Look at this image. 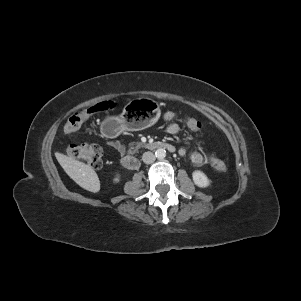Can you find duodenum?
I'll list each match as a JSON object with an SVG mask.
<instances>
[{
    "instance_id": "1",
    "label": "duodenum",
    "mask_w": 301,
    "mask_h": 301,
    "mask_svg": "<svg viewBox=\"0 0 301 301\" xmlns=\"http://www.w3.org/2000/svg\"><path fill=\"white\" fill-rule=\"evenodd\" d=\"M146 146L149 149H165L169 152H175V147L173 145L162 141L151 142ZM121 163L127 170H135L138 167V161L133 155L123 156Z\"/></svg>"
}]
</instances>
